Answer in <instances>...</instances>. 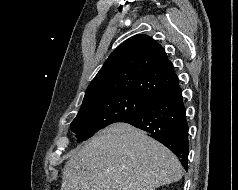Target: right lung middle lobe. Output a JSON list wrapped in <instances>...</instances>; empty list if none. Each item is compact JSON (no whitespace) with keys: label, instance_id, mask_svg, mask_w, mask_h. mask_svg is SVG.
Masks as SVG:
<instances>
[{"label":"right lung middle lobe","instance_id":"1","mask_svg":"<svg viewBox=\"0 0 238 190\" xmlns=\"http://www.w3.org/2000/svg\"><path fill=\"white\" fill-rule=\"evenodd\" d=\"M153 102L133 95L119 94L100 97L83 102L77 117L71 123V130L78 141H84L103 127L122 122Z\"/></svg>","mask_w":238,"mask_h":190}]
</instances>
